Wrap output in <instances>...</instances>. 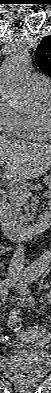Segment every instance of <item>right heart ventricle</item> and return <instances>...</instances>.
<instances>
[{
  "mask_svg": "<svg viewBox=\"0 0 51 393\" xmlns=\"http://www.w3.org/2000/svg\"><path fill=\"white\" fill-rule=\"evenodd\" d=\"M38 96L39 98L43 101L46 102L50 98V91L49 92H42L38 91ZM46 133L42 129L39 119H38V114H32L28 116H24L23 118V138L28 139V140H34V141H42L46 139Z\"/></svg>",
  "mask_w": 51,
  "mask_h": 393,
  "instance_id": "1",
  "label": "right heart ventricle"
}]
</instances>
